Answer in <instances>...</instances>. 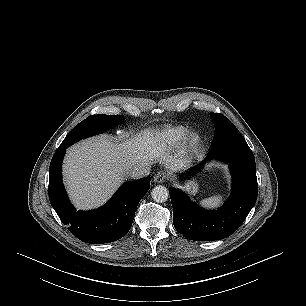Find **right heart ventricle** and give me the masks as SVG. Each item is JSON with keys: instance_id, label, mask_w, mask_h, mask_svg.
<instances>
[{"instance_id": "1", "label": "right heart ventricle", "mask_w": 306, "mask_h": 306, "mask_svg": "<svg viewBox=\"0 0 306 306\" xmlns=\"http://www.w3.org/2000/svg\"><path fill=\"white\" fill-rule=\"evenodd\" d=\"M185 133L184 128L182 127H175L168 131L166 137L171 142H178L182 139L183 135Z\"/></svg>"}]
</instances>
